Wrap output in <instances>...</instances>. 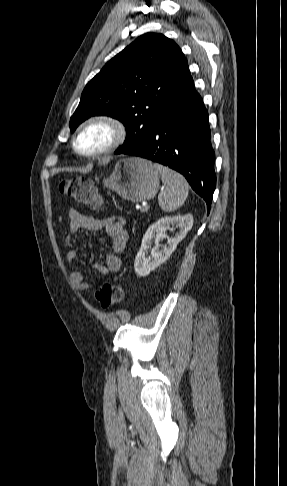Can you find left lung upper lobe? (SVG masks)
<instances>
[{
    "label": "left lung upper lobe",
    "mask_w": 287,
    "mask_h": 486,
    "mask_svg": "<svg viewBox=\"0 0 287 486\" xmlns=\"http://www.w3.org/2000/svg\"><path fill=\"white\" fill-rule=\"evenodd\" d=\"M192 80L176 43L146 33L113 57L84 88L70 129L94 115H107L126 127L124 144L114 153L141 145L169 103Z\"/></svg>",
    "instance_id": "left-lung-upper-lobe-1"
}]
</instances>
